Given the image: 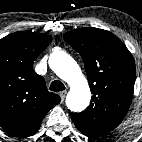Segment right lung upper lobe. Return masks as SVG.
I'll return each mask as SVG.
<instances>
[{"mask_svg": "<svg viewBox=\"0 0 142 142\" xmlns=\"http://www.w3.org/2000/svg\"><path fill=\"white\" fill-rule=\"evenodd\" d=\"M51 39L46 34L15 32L0 40V126L13 137L35 134L47 112L61 101L32 70Z\"/></svg>", "mask_w": 142, "mask_h": 142, "instance_id": "obj_1", "label": "right lung upper lobe"}]
</instances>
